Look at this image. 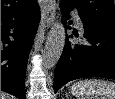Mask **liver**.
<instances>
[{
    "instance_id": "6515ba94",
    "label": "liver",
    "mask_w": 115,
    "mask_h": 99,
    "mask_svg": "<svg viewBox=\"0 0 115 99\" xmlns=\"http://www.w3.org/2000/svg\"><path fill=\"white\" fill-rule=\"evenodd\" d=\"M1 99H12V96L4 92H1Z\"/></svg>"
}]
</instances>
